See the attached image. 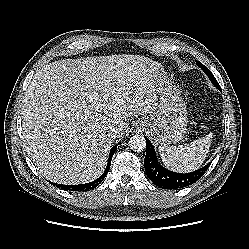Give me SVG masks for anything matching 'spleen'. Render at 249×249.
Returning a JSON list of instances; mask_svg holds the SVG:
<instances>
[{
    "mask_svg": "<svg viewBox=\"0 0 249 249\" xmlns=\"http://www.w3.org/2000/svg\"><path fill=\"white\" fill-rule=\"evenodd\" d=\"M211 139L212 135L209 134L185 145L160 146L162 162L175 172L188 173L197 170L207 157Z\"/></svg>",
    "mask_w": 249,
    "mask_h": 249,
    "instance_id": "spleen-1",
    "label": "spleen"
}]
</instances>
